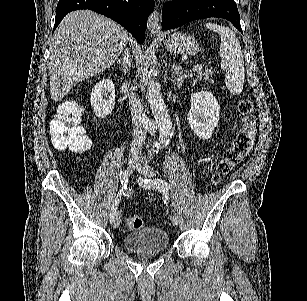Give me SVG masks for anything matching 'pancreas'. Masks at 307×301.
Listing matches in <instances>:
<instances>
[{"label": "pancreas", "instance_id": "obj_1", "mask_svg": "<svg viewBox=\"0 0 307 301\" xmlns=\"http://www.w3.org/2000/svg\"><path fill=\"white\" fill-rule=\"evenodd\" d=\"M197 78H202V80H205L206 84L210 82V84H214L215 80H213L212 76L214 74L213 70L211 68H207V70H198V72H195Z\"/></svg>", "mask_w": 307, "mask_h": 301}]
</instances>
